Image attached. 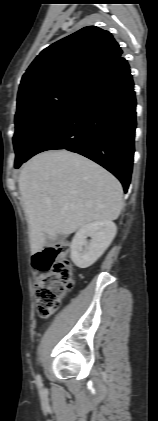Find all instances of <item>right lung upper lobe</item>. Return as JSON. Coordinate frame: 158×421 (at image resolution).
Listing matches in <instances>:
<instances>
[{
  "instance_id": "cb5924a9",
  "label": "right lung upper lobe",
  "mask_w": 158,
  "mask_h": 421,
  "mask_svg": "<svg viewBox=\"0 0 158 421\" xmlns=\"http://www.w3.org/2000/svg\"><path fill=\"white\" fill-rule=\"evenodd\" d=\"M121 56L122 50L110 32L84 27L35 58L22 77L17 100L60 84L84 85Z\"/></svg>"
}]
</instances>
